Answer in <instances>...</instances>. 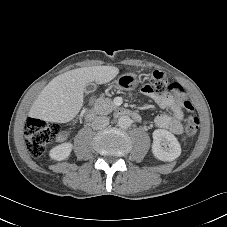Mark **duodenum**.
<instances>
[{
  "label": "duodenum",
  "mask_w": 227,
  "mask_h": 227,
  "mask_svg": "<svg viewBox=\"0 0 227 227\" xmlns=\"http://www.w3.org/2000/svg\"><path fill=\"white\" fill-rule=\"evenodd\" d=\"M114 115L116 117H123V116H130L132 117L133 119L137 120V121H140L141 120V117L138 113L134 112V111H131L127 108H123V107H118L114 110ZM85 117L87 120H92L95 118V111L93 108L89 107L87 110H86V113H85Z\"/></svg>",
  "instance_id": "duodenum-1"
}]
</instances>
